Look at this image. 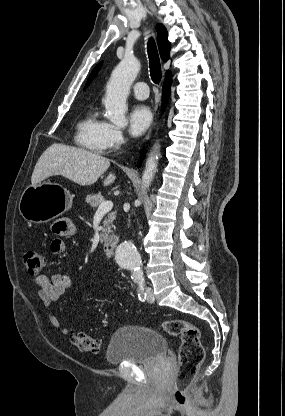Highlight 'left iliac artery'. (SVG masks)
<instances>
[{"instance_id": "1", "label": "left iliac artery", "mask_w": 285, "mask_h": 416, "mask_svg": "<svg viewBox=\"0 0 285 416\" xmlns=\"http://www.w3.org/2000/svg\"><path fill=\"white\" fill-rule=\"evenodd\" d=\"M136 279H137V283H138V286H139V290L143 293L144 292V287H145L144 278H143L142 275H140V276L136 277ZM144 295L146 297V294H144ZM139 299L141 300L140 296H139Z\"/></svg>"}]
</instances>
